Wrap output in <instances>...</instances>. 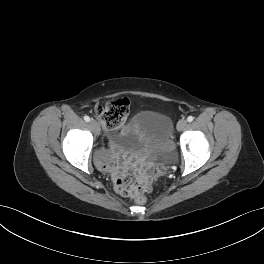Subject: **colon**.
Masks as SVG:
<instances>
[{"mask_svg": "<svg viewBox=\"0 0 264 264\" xmlns=\"http://www.w3.org/2000/svg\"><path fill=\"white\" fill-rule=\"evenodd\" d=\"M129 110L130 100L120 98L105 106H99L95 114L106 129L115 130L123 126ZM156 171L158 175L164 176L167 173V168L161 164L157 166ZM117 184L119 185V193L122 196L133 198L139 205L147 203L145 192L148 187L144 176L133 173L123 174L117 178Z\"/></svg>", "mask_w": 264, "mask_h": 264, "instance_id": "obj_1", "label": "colon"}]
</instances>
